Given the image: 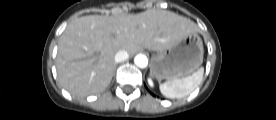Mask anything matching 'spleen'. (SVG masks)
Listing matches in <instances>:
<instances>
[{"mask_svg": "<svg viewBox=\"0 0 276 120\" xmlns=\"http://www.w3.org/2000/svg\"><path fill=\"white\" fill-rule=\"evenodd\" d=\"M204 68L191 75L174 78L159 85L161 93L167 98H183L189 95L202 81Z\"/></svg>", "mask_w": 276, "mask_h": 120, "instance_id": "3e777b00", "label": "spleen"}]
</instances>
